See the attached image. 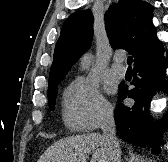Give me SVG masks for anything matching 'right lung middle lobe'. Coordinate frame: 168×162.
I'll return each instance as SVG.
<instances>
[{"label":"right lung middle lobe","instance_id":"right-lung-middle-lobe-1","mask_svg":"<svg viewBox=\"0 0 168 162\" xmlns=\"http://www.w3.org/2000/svg\"><path fill=\"white\" fill-rule=\"evenodd\" d=\"M60 82H61V80L48 85V87H49V89H48V103H49V108L51 111L54 110V108H55L56 94L58 92L57 85Z\"/></svg>","mask_w":168,"mask_h":162}]
</instances>
